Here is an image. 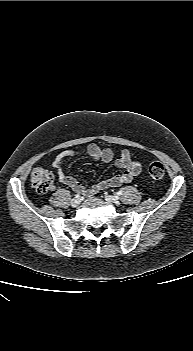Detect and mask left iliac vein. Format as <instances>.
<instances>
[{"mask_svg": "<svg viewBox=\"0 0 193 351\" xmlns=\"http://www.w3.org/2000/svg\"><path fill=\"white\" fill-rule=\"evenodd\" d=\"M105 200H106V202H108L110 204H115V205L120 204L119 200L111 195H105Z\"/></svg>", "mask_w": 193, "mask_h": 351, "instance_id": "left-iliac-vein-1", "label": "left iliac vein"}]
</instances>
